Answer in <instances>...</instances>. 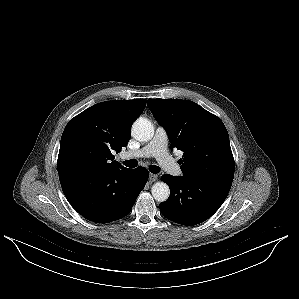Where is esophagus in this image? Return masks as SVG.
Wrapping results in <instances>:
<instances>
[{
  "instance_id": "1",
  "label": "esophagus",
  "mask_w": 299,
  "mask_h": 299,
  "mask_svg": "<svg viewBox=\"0 0 299 299\" xmlns=\"http://www.w3.org/2000/svg\"><path fill=\"white\" fill-rule=\"evenodd\" d=\"M158 176L156 174H149V182L153 183L157 180Z\"/></svg>"
}]
</instances>
